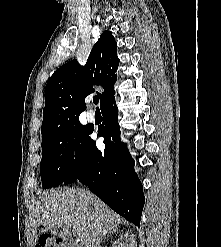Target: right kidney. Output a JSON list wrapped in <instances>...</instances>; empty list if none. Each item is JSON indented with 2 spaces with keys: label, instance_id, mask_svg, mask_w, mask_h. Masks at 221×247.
Masks as SVG:
<instances>
[{
  "label": "right kidney",
  "instance_id": "ca27d5eb",
  "mask_svg": "<svg viewBox=\"0 0 221 247\" xmlns=\"http://www.w3.org/2000/svg\"><path fill=\"white\" fill-rule=\"evenodd\" d=\"M137 243L133 234L121 235L112 245V247H136Z\"/></svg>",
  "mask_w": 221,
  "mask_h": 247
}]
</instances>
